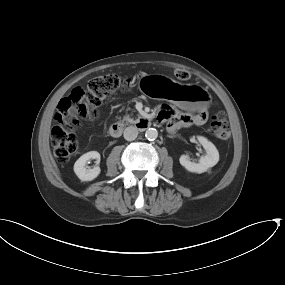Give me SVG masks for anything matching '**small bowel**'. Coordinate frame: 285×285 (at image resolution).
Segmentation results:
<instances>
[{"instance_id":"c3829d8e","label":"small bowel","mask_w":285,"mask_h":285,"mask_svg":"<svg viewBox=\"0 0 285 285\" xmlns=\"http://www.w3.org/2000/svg\"><path fill=\"white\" fill-rule=\"evenodd\" d=\"M157 117L162 121H166V129L169 133H174L180 127L202 123L207 119V115L204 112L193 115L180 114L167 104L161 105L157 111Z\"/></svg>"}]
</instances>
